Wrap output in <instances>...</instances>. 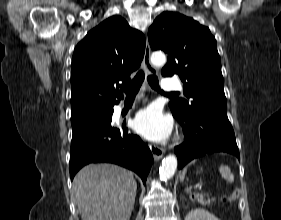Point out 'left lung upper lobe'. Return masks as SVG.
<instances>
[{"instance_id":"5c2ea615","label":"left lung upper lobe","mask_w":281,"mask_h":220,"mask_svg":"<svg viewBox=\"0 0 281 220\" xmlns=\"http://www.w3.org/2000/svg\"><path fill=\"white\" fill-rule=\"evenodd\" d=\"M152 50H163L168 62L164 77L177 74L190 101H171L172 112L190 117L206 110L227 112L221 59L210 30L190 17L163 12L148 30Z\"/></svg>"}]
</instances>
